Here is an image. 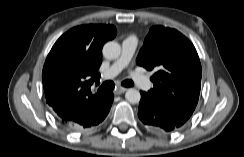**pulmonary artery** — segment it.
Returning a JSON list of instances; mask_svg holds the SVG:
<instances>
[{"mask_svg": "<svg viewBox=\"0 0 244 157\" xmlns=\"http://www.w3.org/2000/svg\"><path fill=\"white\" fill-rule=\"evenodd\" d=\"M138 41L136 37L130 36L123 40L120 57L102 74L103 80H110L117 76L126 68L133 57ZM131 76L136 85L142 89H150V80L141 73L131 72Z\"/></svg>", "mask_w": 244, "mask_h": 157, "instance_id": "e3ab8cb5", "label": "pulmonary artery"}]
</instances>
